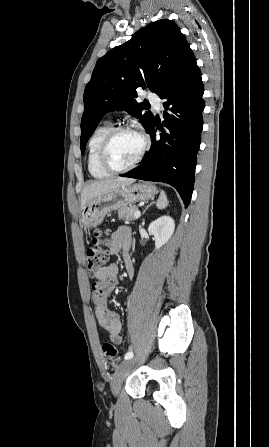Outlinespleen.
<instances>
[{"label": "spleen", "mask_w": 269, "mask_h": 447, "mask_svg": "<svg viewBox=\"0 0 269 447\" xmlns=\"http://www.w3.org/2000/svg\"><path fill=\"white\" fill-rule=\"evenodd\" d=\"M156 206H157L158 210H164V208H167L168 200H167V196H166L165 192H161V194L157 200Z\"/></svg>", "instance_id": "3e777b00"}]
</instances>
